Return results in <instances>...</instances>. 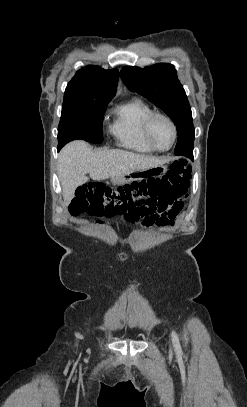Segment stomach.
Returning <instances> with one entry per match:
<instances>
[{"label": "stomach", "instance_id": "1", "mask_svg": "<svg viewBox=\"0 0 247 407\" xmlns=\"http://www.w3.org/2000/svg\"><path fill=\"white\" fill-rule=\"evenodd\" d=\"M167 172V166H138L137 169H130L129 173L114 176L111 178L114 184H124L140 178H153L155 176H162Z\"/></svg>", "mask_w": 247, "mask_h": 407}]
</instances>
